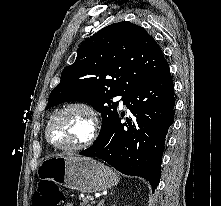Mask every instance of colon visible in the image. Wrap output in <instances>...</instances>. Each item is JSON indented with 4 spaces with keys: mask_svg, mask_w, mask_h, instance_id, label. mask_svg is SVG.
Returning a JSON list of instances; mask_svg holds the SVG:
<instances>
[{
    "mask_svg": "<svg viewBox=\"0 0 221 206\" xmlns=\"http://www.w3.org/2000/svg\"><path fill=\"white\" fill-rule=\"evenodd\" d=\"M34 206H66L65 195L51 182L43 181L33 195Z\"/></svg>",
    "mask_w": 221,
    "mask_h": 206,
    "instance_id": "5ec220e1",
    "label": "colon"
}]
</instances>
